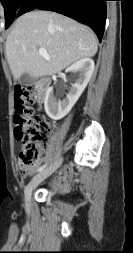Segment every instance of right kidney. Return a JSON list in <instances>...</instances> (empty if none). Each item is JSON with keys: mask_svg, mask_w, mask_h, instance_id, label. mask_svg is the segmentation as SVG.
Returning <instances> with one entry per match:
<instances>
[{"mask_svg": "<svg viewBox=\"0 0 133 253\" xmlns=\"http://www.w3.org/2000/svg\"><path fill=\"white\" fill-rule=\"evenodd\" d=\"M93 71L94 61L90 58H83L66 69L67 73L75 76V82L65 98L60 99L55 96L53 87L48 89L44 107L46 114L51 119H62L70 112L90 81Z\"/></svg>", "mask_w": 133, "mask_h": 253, "instance_id": "1", "label": "right kidney"}]
</instances>
